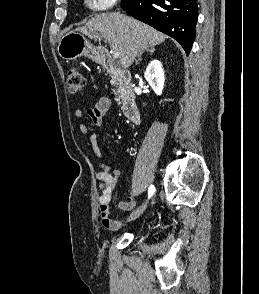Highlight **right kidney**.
Listing matches in <instances>:
<instances>
[{"mask_svg":"<svg viewBox=\"0 0 259 294\" xmlns=\"http://www.w3.org/2000/svg\"><path fill=\"white\" fill-rule=\"evenodd\" d=\"M144 77L153 91L157 95H161L165 82L164 71L161 62L158 60L151 61L147 66Z\"/></svg>","mask_w":259,"mask_h":294,"instance_id":"obj_1","label":"right kidney"}]
</instances>
